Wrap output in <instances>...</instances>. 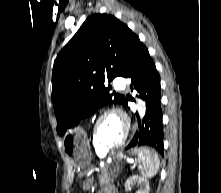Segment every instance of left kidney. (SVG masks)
<instances>
[{
	"label": "left kidney",
	"mask_w": 221,
	"mask_h": 193,
	"mask_svg": "<svg viewBox=\"0 0 221 193\" xmlns=\"http://www.w3.org/2000/svg\"><path fill=\"white\" fill-rule=\"evenodd\" d=\"M136 183L141 186L136 193H149V182L146 179L138 176L128 178L125 182V189L131 190L132 186Z\"/></svg>",
	"instance_id": "obj_1"
}]
</instances>
